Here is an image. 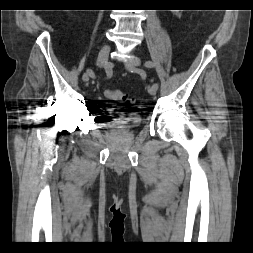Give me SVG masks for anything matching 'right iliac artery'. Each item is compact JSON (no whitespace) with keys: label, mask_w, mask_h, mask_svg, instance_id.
I'll use <instances>...</instances> for the list:
<instances>
[{"label":"right iliac artery","mask_w":253,"mask_h":253,"mask_svg":"<svg viewBox=\"0 0 253 253\" xmlns=\"http://www.w3.org/2000/svg\"><path fill=\"white\" fill-rule=\"evenodd\" d=\"M86 71H87V74L90 75V77H94V74L89 68H86ZM106 74H107V78H110L112 75L111 71L108 68H106Z\"/></svg>","instance_id":"82829eb1"}]
</instances>
